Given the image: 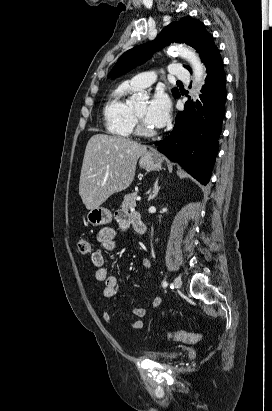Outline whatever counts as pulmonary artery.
Here are the masks:
<instances>
[{"instance_id":"obj_1","label":"pulmonary artery","mask_w":272,"mask_h":411,"mask_svg":"<svg viewBox=\"0 0 272 411\" xmlns=\"http://www.w3.org/2000/svg\"><path fill=\"white\" fill-rule=\"evenodd\" d=\"M170 73L177 79L183 81L190 80V73L187 69L183 68L180 64L172 65ZM156 80V75L153 72H145L138 74L129 80V84L135 90L145 89L151 86Z\"/></svg>"}]
</instances>
